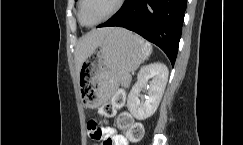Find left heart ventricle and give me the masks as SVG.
<instances>
[{
    "mask_svg": "<svg viewBox=\"0 0 243 145\" xmlns=\"http://www.w3.org/2000/svg\"><path fill=\"white\" fill-rule=\"evenodd\" d=\"M118 0H84L82 18L86 24H95L108 15Z\"/></svg>",
    "mask_w": 243,
    "mask_h": 145,
    "instance_id": "obj_1",
    "label": "left heart ventricle"
}]
</instances>
